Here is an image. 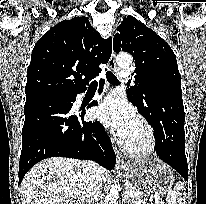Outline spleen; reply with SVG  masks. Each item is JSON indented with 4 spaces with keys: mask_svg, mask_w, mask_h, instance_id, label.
I'll list each match as a JSON object with an SVG mask.
<instances>
[{
    "mask_svg": "<svg viewBox=\"0 0 206 204\" xmlns=\"http://www.w3.org/2000/svg\"><path fill=\"white\" fill-rule=\"evenodd\" d=\"M184 184L182 182L176 183L173 189L169 190L166 201L168 204H184Z\"/></svg>",
    "mask_w": 206,
    "mask_h": 204,
    "instance_id": "spleen-1",
    "label": "spleen"
}]
</instances>
